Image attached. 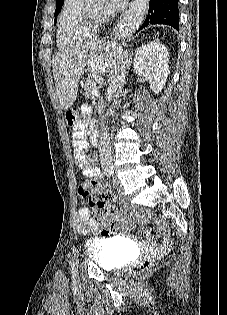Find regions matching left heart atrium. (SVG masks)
<instances>
[{
  "label": "left heart atrium",
  "instance_id": "obj_1",
  "mask_svg": "<svg viewBox=\"0 0 227 315\" xmlns=\"http://www.w3.org/2000/svg\"><path fill=\"white\" fill-rule=\"evenodd\" d=\"M127 5V0H108L103 13L105 15H113L122 10Z\"/></svg>",
  "mask_w": 227,
  "mask_h": 315
}]
</instances>
